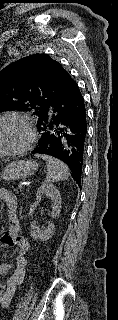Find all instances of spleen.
<instances>
[{"label": "spleen", "instance_id": "spleen-1", "mask_svg": "<svg viewBox=\"0 0 118 320\" xmlns=\"http://www.w3.org/2000/svg\"><path fill=\"white\" fill-rule=\"evenodd\" d=\"M47 164L46 183L64 181L69 174V168L60 160L51 156L44 155L41 157Z\"/></svg>", "mask_w": 118, "mask_h": 320}]
</instances>
